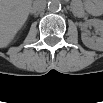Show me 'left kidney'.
I'll list each match as a JSON object with an SVG mask.
<instances>
[{"instance_id":"1","label":"left kidney","mask_w":103,"mask_h":103,"mask_svg":"<svg viewBox=\"0 0 103 103\" xmlns=\"http://www.w3.org/2000/svg\"><path fill=\"white\" fill-rule=\"evenodd\" d=\"M85 26H93L97 29L100 34V37H89L87 33L83 32L81 39L83 44L93 50H102L103 49V21L100 19H90L85 23Z\"/></svg>"}]
</instances>
